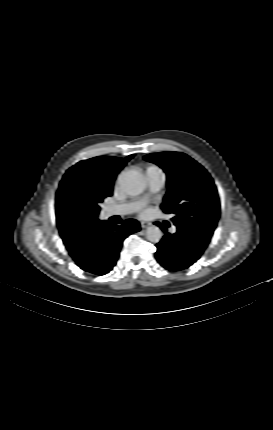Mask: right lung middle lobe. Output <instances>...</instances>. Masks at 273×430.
<instances>
[{"instance_id":"obj_1","label":"right lung middle lobe","mask_w":273,"mask_h":430,"mask_svg":"<svg viewBox=\"0 0 273 430\" xmlns=\"http://www.w3.org/2000/svg\"><path fill=\"white\" fill-rule=\"evenodd\" d=\"M107 197L103 193H92L69 182L56 197L57 225L61 232L85 230L97 220L100 203Z\"/></svg>"}]
</instances>
